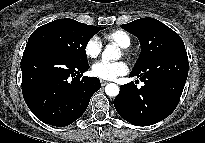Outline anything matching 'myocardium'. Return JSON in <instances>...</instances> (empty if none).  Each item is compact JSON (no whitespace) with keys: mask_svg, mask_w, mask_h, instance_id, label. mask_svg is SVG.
Here are the masks:
<instances>
[{"mask_svg":"<svg viewBox=\"0 0 205 143\" xmlns=\"http://www.w3.org/2000/svg\"><path fill=\"white\" fill-rule=\"evenodd\" d=\"M124 53H127V50L124 48Z\"/></svg>","mask_w":205,"mask_h":143,"instance_id":"f54148a6","label":"myocardium"}]
</instances>
